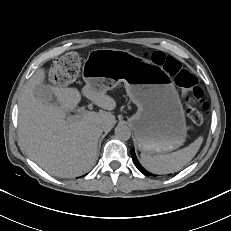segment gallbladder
I'll list each match as a JSON object with an SVG mask.
<instances>
[{
	"label": "gallbladder",
	"instance_id": "1",
	"mask_svg": "<svg viewBox=\"0 0 231 231\" xmlns=\"http://www.w3.org/2000/svg\"><path fill=\"white\" fill-rule=\"evenodd\" d=\"M35 96L45 103H53L55 100L53 93L46 86H37Z\"/></svg>",
	"mask_w": 231,
	"mask_h": 231
}]
</instances>
